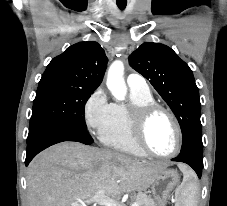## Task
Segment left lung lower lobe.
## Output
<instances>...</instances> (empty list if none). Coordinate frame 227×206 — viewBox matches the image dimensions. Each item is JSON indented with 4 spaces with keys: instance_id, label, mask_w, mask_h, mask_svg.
Listing matches in <instances>:
<instances>
[{
    "instance_id": "0a47b994",
    "label": "left lung lower lobe",
    "mask_w": 227,
    "mask_h": 206,
    "mask_svg": "<svg viewBox=\"0 0 227 206\" xmlns=\"http://www.w3.org/2000/svg\"><path fill=\"white\" fill-rule=\"evenodd\" d=\"M172 161L183 162L194 169L198 177L201 178L203 168V153H199L193 147L187 146Z\"/></svg>"
}]
</instances>
